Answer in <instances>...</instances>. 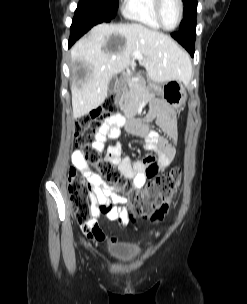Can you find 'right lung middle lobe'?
<instances>
[{"label": "right lung middle lobe", "mask_w": 247, "mask_h": 304, "mask_svg": "<svg viewBox=\"0 0 247 304\" xmlns=\"http://www.w3.org/2000/svg\"><path fill=\"white\" fill-rule=\"evenodd\" d=\"M118 0H80L77 16H95L112 19L116 16Z\"/></svg>", "instance_id": "dd1d6c3e"}]
</instances>
